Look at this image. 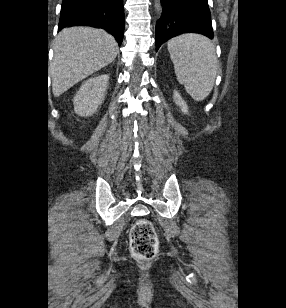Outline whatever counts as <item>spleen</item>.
<instances>
[{
  "instance_id": "3e777b00",
  "label": "spleen",
  "mask_w": 286,
  "mask_h": 308,
  "mask_svg": "<svg viewBox=\"0 0 286 308\" xmlns=\"http://www.w3.org/2000/svg\"><path fill=\"white\" fill-rule=\"evenodd\" d=\"M178 82L195 100H204L212 91L217 75L214 44L199 34H182L167 42Z\"/></svg>"
}]
</instances>
